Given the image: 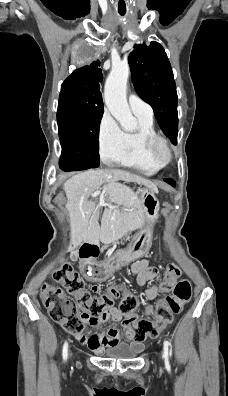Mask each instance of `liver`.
Here are the masks:
<instances>
[{
	"label": "liver",
	"mask_w": 228,
	"mask_h": 396,
	"mask_svg": "<svg viewBox=\"0 0 228 396\" xmlns=\"http://www.w3.org/2000/svg\"><path fill=\"white\" fill-rule=\"evenodd\" d=\"M135 182L158 191L151 181L119 169L87 170L69 178L63 185L70 218L71 243L81 242L97 244L110 241L121 231L123 221H128L131 229L141 228L144 213L139 194L118 181ZM103 186V187H102ZM103 188V201L97 203L89 200L96 191ZM105 207L101 228L99 226L100 210Z\"/></svg>",
	"instance_id": "obj_1"
}]
</instances>
